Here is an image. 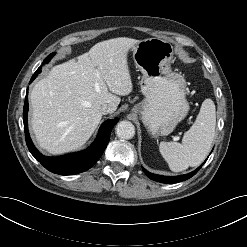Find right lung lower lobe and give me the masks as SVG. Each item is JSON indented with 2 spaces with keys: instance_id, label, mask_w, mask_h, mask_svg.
<instances>
[{
  "instance_id": "obj_1",
  "label": "right lung lower lobe",
  "mask_w": 247,
  "mask_h": 247,
  "mask_svg": "<svg viewBox=\"0 0 247 247\" xmlns=\"http://www.w3.org/2000/svg\"><path fill=\"white\" fill-rule=\"evenodd\" d=\"M34 74L31 82L36 78ZM28 98L25 97L23 108V122L26 144L31 154L49 171L59 175H72L90 169L101 157L110 139V133L118 119L107 120L100 127L97 139L86 150L60 157H47L42 155L33 145L27 126Z\"/></svg>"
}]
</instances>
